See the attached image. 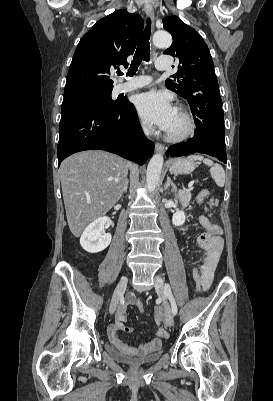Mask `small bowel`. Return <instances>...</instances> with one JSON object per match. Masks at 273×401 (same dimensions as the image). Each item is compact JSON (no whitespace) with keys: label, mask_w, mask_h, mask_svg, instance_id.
I'll return each mask as SVG.
<instances>
[{"label":"small bowel","mask_w":273,"mask_h":401,"mask_svg":"<svg viewBox=\"0 0 273 401\" xmlns=\"http://www.w3.org/2000/svg\"><path fill=\"white\" fill-rule=\"evenodd\" d=\"M203 229L204 228H218L214 225H211L208 216L203 215L200 218ZM220 231V229H219ZM221 232V231H220ZM196 246L204 251V259L201 265V277L200 282L204 290H208L213 282L215 270L221 256L223 250V241H204L203 234L198 237L196 240ZM137 295L128 294L124 300V302L118 307L115 319L113 324L108 328V338L110 342L119 350L122 351H130L132 353H136L139 355H144L147 353L153 354L157 352L161 345L166 342V329L158 327L156 329V334L158 338L152 340L151 342L139 347L132 348L119 338V332L130 333L132 331L131 327L126 326V311L129 307L135 306V301L137 299ZM165 308L163 305H154L153 311L155 312L156 318H165L167 313L164 311ZM157 324L161 323L160 319L156 320Z\"/></svg>","instance_id":"c3829d8e"}]
</instances>
